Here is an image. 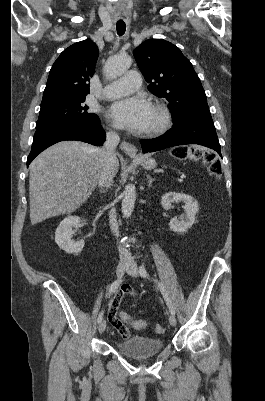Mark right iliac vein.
Instances as JSON below:
<instances>
[{
	"mask_svg": "<svg viewBox=\"0 0 265 401\" xmlns=\"http://www.w3.org/2000/svg\"><path fill=\"white\" fill-rule=\"evenodd\" d=\"M128 268H129V263H119L116 269V276L118 278H121ZM105 328H106V322L101 321L98 326L99 333H103Z\"/></svg>",
	"mask_w": 265,
	"mask_h": 401,
	"instance_id": "63e3f726",
	"label": "right iliac vein"
}]
</instances>
